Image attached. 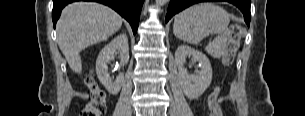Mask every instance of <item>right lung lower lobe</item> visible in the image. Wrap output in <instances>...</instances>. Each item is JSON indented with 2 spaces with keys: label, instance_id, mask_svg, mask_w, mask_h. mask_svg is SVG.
Segmentation results:
<instances>
[{
  "label": "right lung lower lobe",
  "instance_id": "1",
  "mask_svg": "<svg viewBox=\"0 0 305 116\" xmlns=\"http://www.w3.org/2000/svg\"><path fill=\"white\" fill-rule=\"evenodd\" d=\"M78 0H53L52 20L54 28L60 17L62 9L69 3ZM105 4L113 8L122 17H124L133 29L134 34L137 32L139 17L144 0H85Z\"/></svg>",
  "mask_w": 305,
  "mask_h": 116
}]
</instances>
